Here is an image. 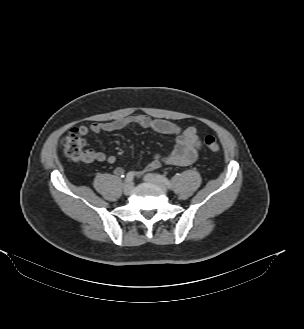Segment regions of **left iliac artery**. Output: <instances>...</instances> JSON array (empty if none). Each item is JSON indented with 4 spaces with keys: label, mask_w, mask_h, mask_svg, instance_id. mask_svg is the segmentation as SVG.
Instances as JSON below:
<instances>
[{
    "label": "left iliac artery",
    "mask_w": 304,
    "mask_h": 329,
    "mask_svg": "<svg viewBox=\"0 0 304 329\" xmlns=\"http://www.w3.org/2000/svg\"><path fill=\"white\" fill-rule=\"evenodd\" d=\"M156 176H157V178H158L162 183H164L169 189H172V188H173L171 182H170L166 177H164V176H162V175H159V174H157Z\"/></svg>",
    "instance_id": "left-iliac-artery-1"
}]
</instances>
